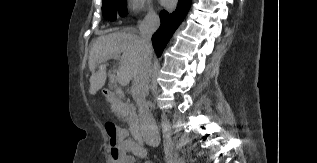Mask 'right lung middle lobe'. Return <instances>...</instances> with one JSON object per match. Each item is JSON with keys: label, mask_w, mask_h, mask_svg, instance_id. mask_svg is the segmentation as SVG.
<instances>
[{"label": "right lung middle lobe", "mask_w": 317, "mask_h": 163, "mask_svg": "<svg viewBox=\"0 0 317 163\" xmlns=\"http://www.w3.org/2000/svg\"><path fill=\"white\" fill-rule=\"evenodd\" d=\"M103 16L106 19L114 21L119 16H125L126 14V0H102Z\"/></svg>", "instance_id": "1"}]
</instances>
